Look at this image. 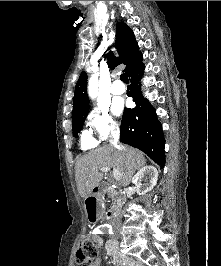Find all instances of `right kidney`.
<instances>
[{
    "label": "right kidney",
    "instance_id": "1",
    "mask_svg": "<svg viewBox=\"0 0 221 266\" xmlns=\"http://www.w3.org/2000/svg\"><path fill=\"white\" fill-rule=\"evenodd\" d=\"M158 171L154 166L142 167L132 179L137 193H147L157 184ZM143 181V183H142Z\"/></svg>",
    "mask_w": 221,
    "mask_h": 266
}]
</instances>
